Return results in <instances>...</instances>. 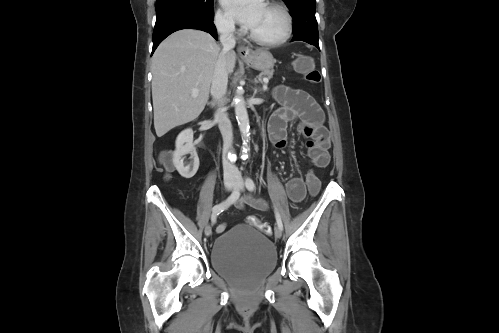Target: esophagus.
<instances>
[{
	"instance_id": "esophagus-1",
	"label": "esophagus",
	"mask_w": 499,
	"mask_h": 333,
	"mask_svg": "<svg viewBox=\"0 0 499 333\" xmlns=\"http://www.w3.org/2000/svg\"><path fill=\"white\" fill-rule=\"evenodd\" d=\"M238 54L240 57H248L251 54L250 48L244 45L238 47Z\"/></svg>"
}]
</instances>
